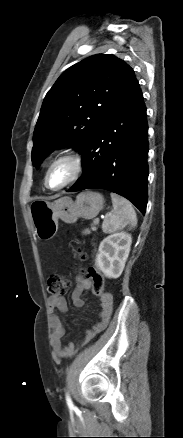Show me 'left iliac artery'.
Listing matches in <instances>:
<instances>
[{
    "instance_id": "left-iliac-artery-1",
    "label": "left iliac artery",
    "mask_w": 183,
    "mask_h": 438,
    "mask_svg": "<svg viewBox=\"0 0 183 438\" xmlns=\"http://www.w3.org/2000/svg\"><path fill=\"white\" fill-rule=\"evenodd\" d=\"M66 401H67V404H68L69 407L73 406V403H72V401H71V399H70V397L68 395H66Z\"/></svg>"
}]
</instances>
